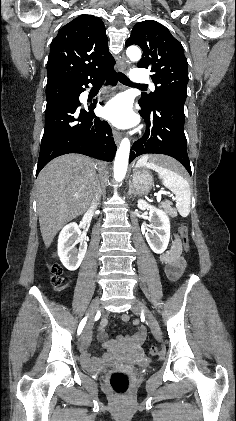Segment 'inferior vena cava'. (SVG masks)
<instances>
[{"label":"inferior vena cava","instance_id":"obj_1","mask_svg":"<svg viewBox=\"0 0 236 421\" xmlns=\"http://www.w3.org/2000/svg\"><path fill=\"white\" fill-rule=\"evenodd\" d=\"M97 178H98V174H97ZM99 192H100V182L98 180V182H97V184H96V186L93 190L92 202L90 204L91 211H96V208L99 204V198H100Z\"/></svg>","mask_w":236,"mask_h":421}]
</instances>
